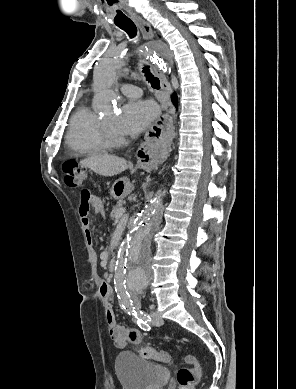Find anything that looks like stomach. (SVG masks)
<instances>
[{
	"label": "stomach",
	"instance_id": "stomach-1",
	"mask_svg": "<svg viewBox=\"0 0 296 389\" xmlns=\"http://www.w3.org/2000/svg\"><path fill=\"white\" fill-rule=\"evenodd\" d=\"M143 172L147 173L148 169H143ZM131 188L132 185L128 179L126 178L119 179L113 184L111 189V195L115 199L123 198L130 192Z\"/></svg>",
	"mask_w": 296,
	"mask_h": 389
}]
</instances>
